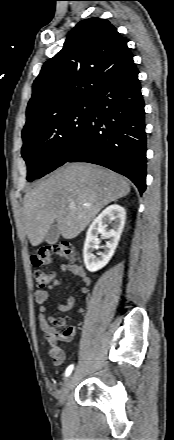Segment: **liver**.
I'll use <instances>...</instances> for the list:
<instances>
[{
	"label": "liver",
	"mask_w": 174,
	"mask_h": 440,
	"mask_svg": "<svg viewBox=\"0 0 174 440\" xmlns=\"http://www.w3.org/2000/svg\"><path fill=\"white\" fill-rule=\"evenodd\" d=\"M129 192L125 178L109 169L88 163L65 164L25 194L23 228L34 247L43 242L54 222L64 239H73L102 208Z\"/></svg>",
	"instance_id": "1"
}]
</instances>
